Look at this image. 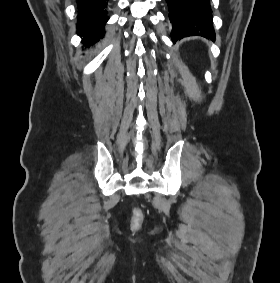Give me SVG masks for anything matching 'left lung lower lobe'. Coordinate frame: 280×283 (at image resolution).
<instances>
[{
	"mask_svg": "<svg viewBox=\"0 0 280 283\" xmlns=\"http://www.w3.org/2000/svg\"><path fill=\"white\" fill-rule=\"evenodd\" d=\"M172 41L200 35L213 40L215 32L209 0H166Z\"/></svg>",
	"mask_w": 280,
	"mask_h": 283,
	"instance_id": "0a47b994",
	"label": "left lung lower lobe"
}]
</instances>
